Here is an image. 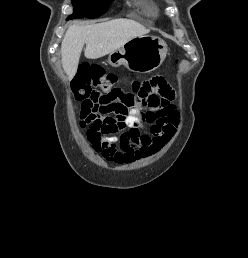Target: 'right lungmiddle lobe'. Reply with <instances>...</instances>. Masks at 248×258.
<instances>
[{"label": "right lung middle lobe", "mask_w": 248, "mask_h": 258, "mask_svg": "<svg viewBox=\"0 0 248 258\" xmlns=\"http://www.w3.org/2000/svg\"><path fill=\"white\" fill-rule=\"evenodd\" d=\"M113 0H72L74 13L67 20L81 17L96 18L105 13Z\"/></svg>", "instance_id": "1"}]
</instances>
